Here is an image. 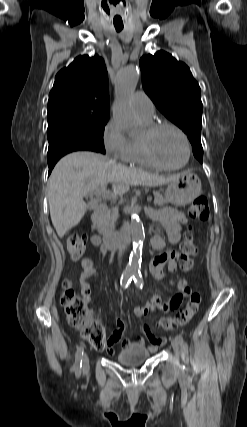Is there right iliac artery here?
I'll use <instances>...</instances> for the list:
<instances>
[{
  "label": "right iliac artery",
  "mask_w": 247,
  "mask_h": 427,
  "mask_svg": "<svg viewBox=\"0 0 247 427\" xmlns=\"http://www.w3.org/2000/svg\"><path fill=\"white\" fill-rule=\"evenodd\" d=\"M132 278H133V275H131V274H123L121 276V280H120L121 287L124 289L127 288L128 285L130 284ZM83 353H84V347H83V345H80L77 348L75 363L73 366V369H74L77 377H79L81 374Z\"/></svg>",
  "instance_id": "1"
}]
</instances>
